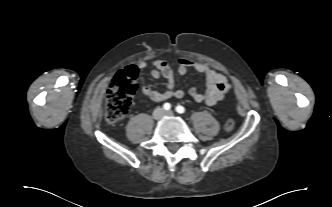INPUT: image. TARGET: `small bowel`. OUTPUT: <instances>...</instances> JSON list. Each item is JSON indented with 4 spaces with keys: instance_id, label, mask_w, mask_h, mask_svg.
Segmentation results:
<instances>
[{
    "instance_id": "c3829d8e",
    "label": "small bowel",
    "mask_w": 332,
    "mask_h": 207,
    "mask_svg": "<svg viewBox=\"0 0 332 207\" xmlns=\"http://www.w3.org/2000/svg\"><path fill=\"white\" fill-rule=\"evenodd\" d=\"M136 66L139 69H145L147 64L144 61H138ZM154 69L151 75L155 79L164 78L166 80V88L163 91H157L149 86L142 87V93L152 101L160 102L172 97L182 98L184 92L176 89L174 72L167 61L156 60L153 62ZM189 69L195 70L202 74L205 78L206 88L203 92L196 88L189 90V95L198 103L207 105H215L222 101L229 92L231 85L227 78L210 68L206 64L195 62L186 58H181L178 63L177 72L180 76H184Z\"/></svg>"
}]
</instances>
